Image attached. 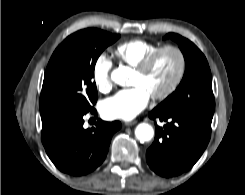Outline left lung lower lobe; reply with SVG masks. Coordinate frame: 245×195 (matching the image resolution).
Returning <instances> with one entry per match:
<instances>
[{
  "mask_svg": "<svg viewBox=\"0 0 245 195\" xmlns=\"http://www.w3.org/2000/svg\"><path fill=\"white\" fill-rule=\"evenodd\" d=\"M149 117L166 122L155 123V140L146 152L150 168L163 177L189 170L209 143L213 113L154 108Z\"/></svg>",
  "mask_w": 245,
  "mask_h": 195,
  "instance_id": "left-lung-lower-lobe-1",
  "label": "left lung lower lobe"
}]
</instances>
